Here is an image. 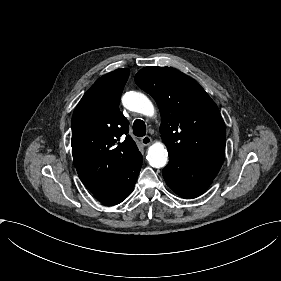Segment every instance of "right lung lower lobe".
<instances>
[{
  "instance_id": "1",
  "label": "right lung lower lobe",
  "mask_w": 281,
  "mask_h": 281,
  "mask_svg": "<svg viewBox=\"0 0 281 281\" xmlns=\"http://www.w3.org/2000/svg\"><path fill=\"white\" fill-rule=\"evenodd\" d=\"M141 166L142 155L139 152L116 179L93 195L105 205L121 203L132 192Z\"/></svg>"
}]
</instances>
